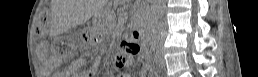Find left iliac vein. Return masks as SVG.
<instances>
[{
	"label": "left iliac vein",
	"instance_id": "obj_1",
	"mask_svg": "<svg viewBox=\"0 0 258 77\" xmlns=\"http://www.w3.org/2000/svg\"><path fill=\"white\" fill-rule=\"evenodd\" d=\"M156 58L158 59V64L160 66H165V60L163 59V57L160 53L156 55Z\"/></svg>",
	"mask_w": 258,
	"mask_h": 77
}]
</instances>
